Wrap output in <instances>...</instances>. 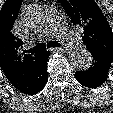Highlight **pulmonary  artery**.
Segmentation results:
<instances>
[{
	"instance_id": "1",
	"label": "pulmonary artery",
	"mask_w": 113,
	"mask_h": 113,
	"mask_svg": "<svg viewBox=\"0 0 113 113\" xmlns=\"http://www.w3.org/2000/svg\"><path fill=\"white\" fill-rule=\"evenodd\" d=\"M55 34H58L69 48L80 49L82 47L80 38L76 34L68 31L63 25L57 10L53 7H48L46 24L39 38Z\"/></svg>"
}]
</instances>
